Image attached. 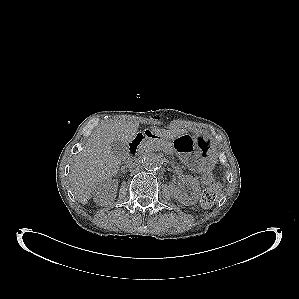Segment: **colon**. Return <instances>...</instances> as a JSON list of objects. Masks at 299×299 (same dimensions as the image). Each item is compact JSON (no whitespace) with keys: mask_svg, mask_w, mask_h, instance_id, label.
<instances>
[{"mask_svg":"<svg viewBox=\"0 0 299 299\" xmlns=\"http://www.w3.org/2000/svg\"><path fill=\"white\" fill-rule=\"evenodd\" d=\"M201 180L206 185V188L201 194V204L203 206H211L217 199L218 186L214 184V179L210 172H206Z\"/></svg>","mask_w":299,"mask_h":299,"instance_id":"colon-1","label":"colon"}]
</instances>
